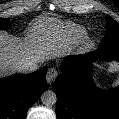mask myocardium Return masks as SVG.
I'll list each match as a JSON object with an SVG mask.
<instances>
[{
  "label": "myocardium",
  "instance_id": "obj_1",
  "mask_svg": "<svg viewBox=\"0 0 119 119\" xmlns=\"http://www.w3.org/2000/svg\"><path fill=\"white\" fill-rule=\"evenodd\" d=\"M93 46H94V40L92 38L87 37L82 42V49L83 50L91 49Z\"/></svg>",
  "mask_w": 119,
  "mask_h": 119
}]
</instances>
